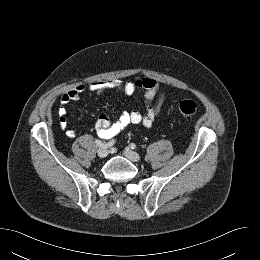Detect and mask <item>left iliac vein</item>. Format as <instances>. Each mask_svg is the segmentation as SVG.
Wrapping results in <instances>:
<instances>
[{
    "label": "left iliac vein",
    "instance_id": "obj_1",
    "mask_svg": "<svg viewBox=\"0 0 260 260\" xmlns=\"http://www.w3.org/2000/svg\"><path fill=\"white\" fill-rule=\"evenodd\" d=\"M123 154L126 158H128L130 161H133V162H138L141 159V157L138 153L132 151L129 148H126L123 151Z\"/></svg>",
    "mask_w": 260,
    "mask_h": 260
}]
</instances>
